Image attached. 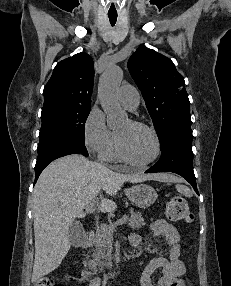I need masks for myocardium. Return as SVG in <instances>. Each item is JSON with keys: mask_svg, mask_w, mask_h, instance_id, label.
Returning a JSON list of instances; mask_svg holds the SVG:
<instances>
[{"mask_svg": "<svg viewBox=\"0 0 231 286\" xmlns=\"http://www.w3.org/2000/svg\"><path fill=\"white\" fill-rule=\"evenodd\" d=\"M129 122L133 126L142 128L151 134V136L153 137L154 143H155V152L149 160H147L143 163L134 162L125 155V153L121 147L119 138L116 134H115V152H116L118 158L121 161H123L124 163L128 164L129 166L137 168V169H144V168L148 167L149 165H151L152 163H154L159 158V156L161 154V141H160L159 135L157 134L155 129L152 128L151 126H149L143 122L137 121V120H130Z\"/></svg>", "mask_w": 231, "mask_h": 286, "instance_id": "obj_1", "label": "myocardium"}]
</instances>
